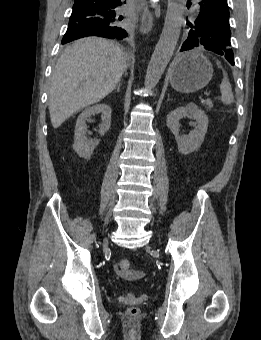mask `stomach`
Listing matches in <instances>:
<instances>
[{"label":"stomach","mask_w":261,"mask_h":340,"mask_svg":"<svg viewBox=\"0 0 261 340\" xmlns=\"http://www.w3.org/2000/svg\"><path fill=\"white\" fill-rule=\"evenodd\" d=\"M169 74L170 84L176 91L193 93L210 82L213 66L202 54L187 52L173 61Z\"/></svg>","instance_id":"stomach-1"}]
</instances>
